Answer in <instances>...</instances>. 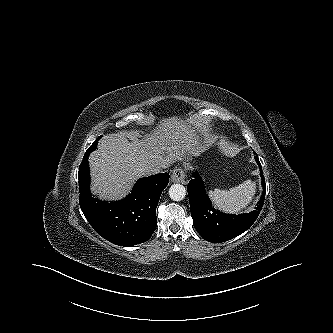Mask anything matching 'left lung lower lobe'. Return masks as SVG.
<instances>
[{"mask_svg": "<svg viewBox=\"0 0 333 333\" xmlns=\"http://www.w3.org/2000/svg\"><path fill=\"white\" fill-rule=\"evenodd\" d=\"M255 160L260 168L263 193L257 207L250 213L229 215L221 213L212 207L206 194L203 181L197 172L190 180L187 190L190 201L191 217L197 232L209 242H224L245 232L257 219L265 199V179L257 156Z\"/></svg>", "mask_w": 333, "mask_h": 333, "instance_id": "0a47b994", "label": "left lung lower lobe"}]
</instances>
